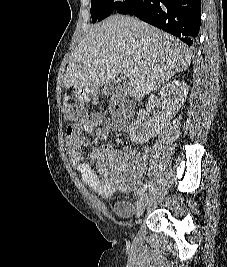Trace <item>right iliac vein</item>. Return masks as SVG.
Segmentation results:
<instances>
[{
    "label": "right iliac vein",
    "mask_w": 227,
    "mask_h": 267,
    "mask_svg": "<svg viewBox=\"0 0 227 267\" xmlns=\"http://www.w3.org/2000/svg\"><path fill=\"white\" fill-rule=\"evenodd\" d=\"M149 202V194L145 193L141 196V198L139 199L138 203H137V209H136V223L139 220V218L142 216L144 209L146 207V205Z\"/></svg>",
    "instance_id": "obj_1"
}]
</instances>
